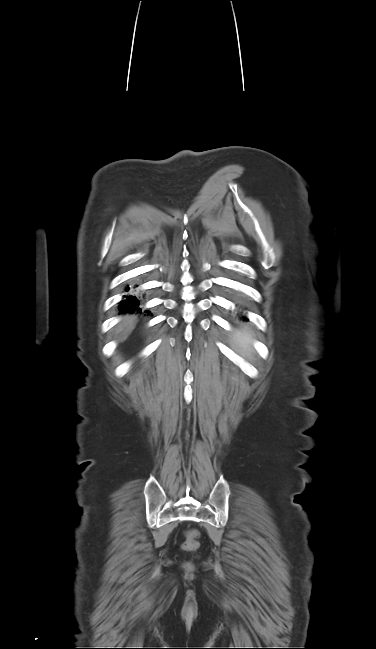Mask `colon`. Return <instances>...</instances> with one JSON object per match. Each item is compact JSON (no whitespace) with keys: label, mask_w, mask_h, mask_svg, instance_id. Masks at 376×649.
<instances>
[{"label":"colon","mask_w":376,"mask_h":649,"mask_svg":"<svg viewBox=\"0 0 376 649\" xmlns=\"http://www.w3.org/2000/svg\"><path fill=\"white\" fill-rule=\"evenodd\" d=\"M198 532L195 530H190L186 533L185 541L183 543V547L186 550H194L198 547Z\"/></svg>","instance_id":"obj_1"}]
</instances>
